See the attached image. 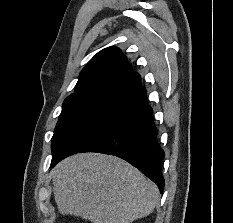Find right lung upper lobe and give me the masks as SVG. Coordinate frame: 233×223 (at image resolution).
Returning a JSON list of instances; mask_svg holds the SVG:
<instances>
[{
  "mask_svg": "<svg viewBox=\"0 0 233 223\" xmlns=\"http://www.w3.org/2000/svg\"><path fill=\"white\" fill-rule=\"evenodd\" d=\"M140 76L127 63L120 49L109 47L98 52L81 71L70 96L93 92H120L140 85Z\"/></svg>",
  "mask_w": 233,
  "mask_h": 223,
  "instance_id": "obj_1",
  "label": "right lung upper lobe"
}]
</instances>
